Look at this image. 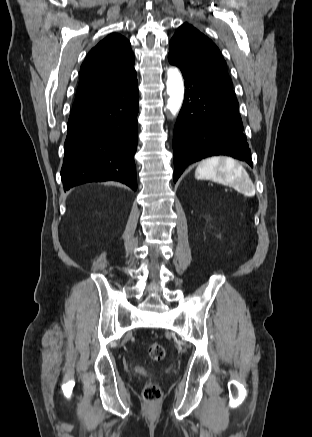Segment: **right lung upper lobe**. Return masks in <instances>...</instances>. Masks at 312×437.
<instances>
[{
  "label": "right lung upper lobe",
  "mask_w": 312,
  "mask_h": 437,
  "mask_svg": "<svg viewBox=\"0 0 312 437\" xmlns=\"http://www.w3.org/2000/svg\"><path fill=\"white\" fill-rule=\"evenodd\" d=\"M130 42L112 33L100 41L80 68L79 85L72 109L96 102L125 86L134 76Z\"/></svg>",
  "instance_id": "right-lung-upper-lobe-1"
}]
</instances>
